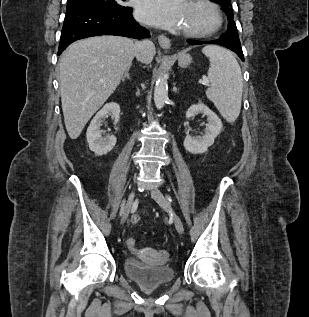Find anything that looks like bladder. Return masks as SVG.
Instances as JSON below:
<instances>
[{"instance_id": "1", "label": "bladder", "mask_w": 309, "mask_h": 317, "mask_svg": "<svg viewBox=\"0 0 309 317\" xmlns=\"http://www.w3.org/2000/svg\"><path fill=\"white\" fill-rule=\"evenodd\" d=\"M125 274L144 289H155L170 283L175 276L169 265H153L135 257H127L123 263Z\"/></svg>"}]
</instances>
